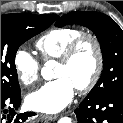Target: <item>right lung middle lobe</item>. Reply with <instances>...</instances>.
<instances>
[{
	"label": "right lung middle lobe",
	"instance_id": "1",
	"mask_svg": "<svg viewBox=\"0 0 123 123\" xmlns=\"http://www.w3.org/2000/svg\"><path fill=\"white\" fill-rule=\"evenodd\" d=\"M54 22L50 14L15 13L1 15V94L20 92L15 55L20 45Z\"/></svg>",
	"mask_w": 123,
	"mask_h": 123
}]
</instances>
